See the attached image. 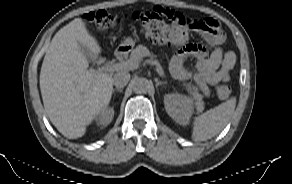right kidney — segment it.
<instances>
[{
	"label": "right kidney",
	"instance_id": "ca27d5eb",
	"mask_svg": "<svg viewBox=\"0 0 292 184\" xmlns=\"http://www.w3.org/2000/svg\"><path fill=\"white\" fill-rule=\"evenodd\" d=\"M114 117V109L112 107H108L103 109L95 118L96 124L101 127H106L111 123Z\"/></svg>",
	"mask_w": 292,
	"mask_h": 184
}]
</instances>
